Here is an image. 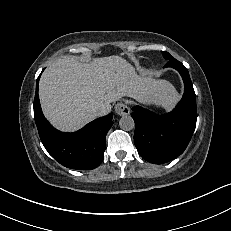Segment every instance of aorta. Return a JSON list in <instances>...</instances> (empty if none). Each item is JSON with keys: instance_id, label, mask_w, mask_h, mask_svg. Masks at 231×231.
Instances as JSON below:
<instances>
[{"instance_id": "762f6f07", "label": "aorta", "mask_w": 231, "mask_h": 231, "mask_svg": "<svg viewBox=\"0 0 231 231\" xmlns=\"http://www.w3.org/2000/svg\"><path fill=\"white\" fill-rule=\"evenodd\" d=\"M119 126L123 130L130 131L135 127V123L131 116L126 115L121 117L119 121Z\"/></svg>"}]
</instances>
